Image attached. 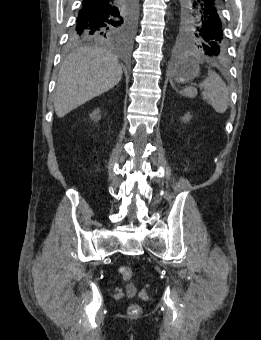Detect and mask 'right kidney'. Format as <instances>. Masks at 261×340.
I'll return each mask as SVG.
<instances>
[{
  "instance_id": "obj_1",
  "label": "right kidney",
  "mask_w": 261,
  "mask_h": 340,
  "mask_svg": "<svg viewBox=\"0 0 261 340\" xmlns=\"http://www.w3.org/2000/svg\"><path fill=\"white\" fill-rule=\"evenodd\" d=\"M90 118L94 121H98L100 120L101 116H100V110L99 109H95L91 114H90Z\"/></svg>"
}]
</instances>
